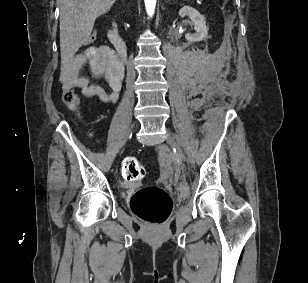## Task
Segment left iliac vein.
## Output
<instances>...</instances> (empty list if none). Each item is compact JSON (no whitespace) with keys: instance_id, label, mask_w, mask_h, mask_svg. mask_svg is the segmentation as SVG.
<instances>
[{"instance_id":"1","label":"left iliac vein","mask_w":308,"mask_h":283,"mask_svg":"<svg viewBox=\"0 0 308 283\" xmlns=\"http://www.w3.org/2000/svg\"><path fill=\"white\" fill-rule=\"evenodd\" d=\"M167 143L174 148L175 150V157L179 163H182L183 161L186 160L185 154L178 144V142L175 140V138L171 135V133H167V138H166Z\"/></svg>"}]
</instances>
